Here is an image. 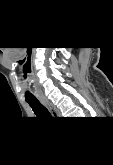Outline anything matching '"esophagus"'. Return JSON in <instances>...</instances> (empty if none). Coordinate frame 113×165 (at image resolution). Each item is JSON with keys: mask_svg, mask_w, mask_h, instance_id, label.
Wrapping results in <instances>:
<instances>
[{"mask_svg": "<svg viewBox=\"0 0 113 165\" xmlns=\"http://www.w3.org/2000/svg\"><path fill=\"white\" fill-rule=\"evenodd\" d=\"M41 103L48 109L52 117H60L59 110L47 99H41Z\"/></svg>", "mask_w": 113, "mask_h": 165, "instance_id": "esophagus-1", "label": "esophagus"}]
</instances>
